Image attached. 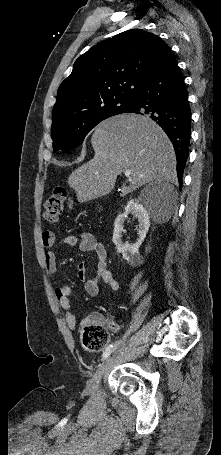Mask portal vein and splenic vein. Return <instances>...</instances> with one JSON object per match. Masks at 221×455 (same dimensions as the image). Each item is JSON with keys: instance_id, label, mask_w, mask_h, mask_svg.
Listing matches in <instances>:
<instances>
[{"instance_id": "1", "label": "portal vein and splenic vein", "mask_w": 221, "mask_h": 455, "mask_svg": "<svg viewBox=\"0 0 221 455\" xmlns=\"http://www.w3.org/2000/svg\"><path fill=\"white\" fill-rule=\"evenodd\" d=\"M125 176L130 179V171H125Z\"/></svg>"}]
</instances>
